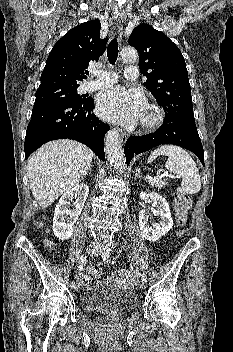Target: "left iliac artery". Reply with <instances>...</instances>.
I'll return each mask as SVG.
<instances>
[{"mask_svg":"<svg viewBox=\"0 0 233 352\" xmlns=\"http://www.w3.org/2000/svg\"><path fill=\"white\" fill-rule=\"evenodd\" d=\"M110 254H111V248H106V250L104 251L102 258L104 261H109L110 258ZM142 281L146 282L147 281V276L146 274H142Z\"/></svg>","mask_w":233,"mask_h":352,"instance_id":"left-iliac-artery-1","label":"left iliac artery"}]
</instances>
